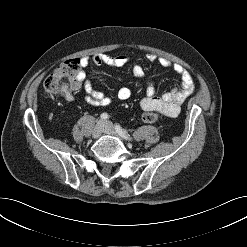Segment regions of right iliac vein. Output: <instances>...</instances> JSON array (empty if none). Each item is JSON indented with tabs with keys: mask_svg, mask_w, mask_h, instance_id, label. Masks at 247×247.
Wrapping results in <instances>:
<instances>
[{
	"mask_svg": "<svg viewBox=\"0 0 247 247\" xmlns=\"http://www.w3.org/2000/svg\"><path fill=\"white\" fill-rule=\"evenodd\" d=\"M104 124L102 121H98L97 124L95 125L93 131H92V137L93 138H98L103 131Z\"/></svg>",
	"mask_w": 247,
	"mask_h": 247,
	"instance_id": "63e3f726",
	"label": "right iliac vein"
}]
</instances>
